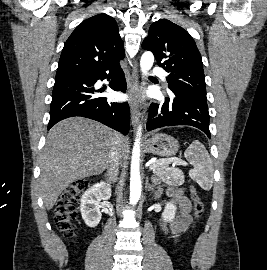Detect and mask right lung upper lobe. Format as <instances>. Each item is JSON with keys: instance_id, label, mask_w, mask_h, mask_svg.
Listing matches in <instances>:
<instances>
[{"instance_id": "1", "label": "right lung upper lobe", "mask_w": 267, "mask_h": 270, "mask_svg": "<svg viewBox=\"0 0 267 270\" xmlns=\"http://www.w3.org/2000/svg\"><path fill=\"white\" fill-rule=\"evenodd\" d=\"M125 56L116 21L98 14L84 20L67 39L56 76L108 67Z\"/></svg>"}]
</instances>
